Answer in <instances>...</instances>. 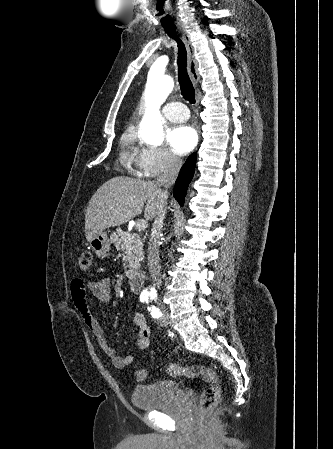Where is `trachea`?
I'll return each mask as SVG.
<instances>
[{
	"label": "trachea",
	"instance_id": "3493384b",
	"mask_svg": "<svg viewBox=\"0 0 333 449\" xmlns=\"http://www.w3.org/2000/svg\"><path fill=\"white\" fill-rule=\"evenodd\" d=\"M165 32L176 41L178 47V81L182 96L190 103H195V89L188 75L187 66V51L185 44L180 38L175 27H164Z\"/></svg>",
	"mask_w": 333,
	"mask_h": 449
}]
</instances>
